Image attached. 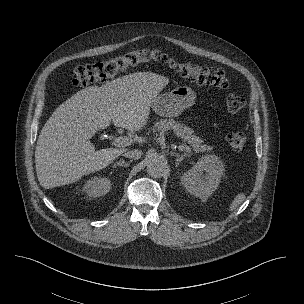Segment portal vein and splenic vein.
I'll return each mask as SVG.
<instances>
[{"label":"portal vein and splenic vein","mask_w":304,"mask_h":304,"mask_svg":"<svg viewBox=\"0 0 304 304\" xmlns=\"http://www.w3.org/2000/svg\"><path fill=\"white\" fill-rule=\"evenodd\" d=\"M132 142V139L127 137V136H120L114 139L113 144L117 147H125L130 145ZM180 150H185L186 152H190V147L185 145V144H181L179 146Z\"/></svg>","instance_id":"portal-vein-and-splenic-vein-1"}]
</instances>
